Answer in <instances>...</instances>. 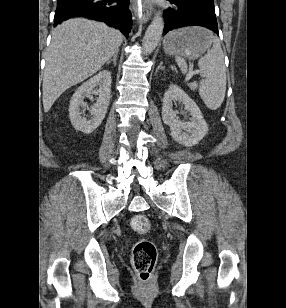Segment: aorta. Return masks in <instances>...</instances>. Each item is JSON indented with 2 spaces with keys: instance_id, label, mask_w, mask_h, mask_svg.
Returning a JSON list of instances; mask_svg holds the SVG:
<instances>
[{
  "instance_id": "obj_1",
  "label": "aorta",
  "mask_w": 286,
  "mask_h": 308,
  "mask_svg": "<svg viewBox=\"0 0 286 308\" xmlns=\"http://www.w3.org/2000/svg\"><path fill=\"white\" fill-rule=\"evenodd\" d=\"M164 30V19L160 14H156L148 26L143 41L142 50L144 54L152 53L157 47Z\"/></svg>"
}]
</instances>
